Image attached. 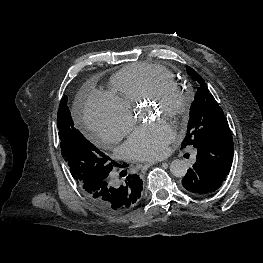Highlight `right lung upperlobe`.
Returning a JSON list of instances; mask_svg holds the SVG:
<instances>
[{
	"label": "right lung upper lobe",
	"instance_id": "obj_1",
	"mask_svg": "<svg viewBox=\"0 0 263 263\" xmlns=\"http://www.w3.org/2000/svg\"><path fill=\"white\" fill-rule=\"evenodd\" d=\"M135 196L136 197H135L134 202H130L127 205H124V206H122V207H120L118 209H115V210L112 211V213H122V212H125V211L131 209L132 207H134L136 202H137V198H139V193H136Z\"/></svg>",
	"mask_w": 263,
	"mask_h": 263
}]
</instances>
